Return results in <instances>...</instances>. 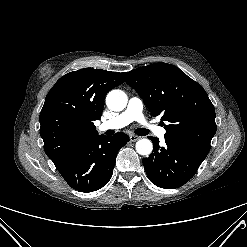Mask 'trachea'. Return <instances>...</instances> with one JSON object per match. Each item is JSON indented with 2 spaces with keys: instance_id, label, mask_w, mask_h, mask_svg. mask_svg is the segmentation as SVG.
I'll use <instances>...</instances> for the list:
<instances>
[{
  "instance_id": "trachea-1",
  "label": "trachea",
  "mask_w": 247,
  "mask_h": 247,
  "mask_svg": "<svg viewBox=\"0 0 247 247\" xmlns=\"http://www.w3.org/2000/svg\"><path fill=\"white\" fill-rule=\"evenodd\" d=\"M136 134L140 135V136H145L149 133V130L147 129H136L135 130Z\"/></svg>"
}]
</instances>
